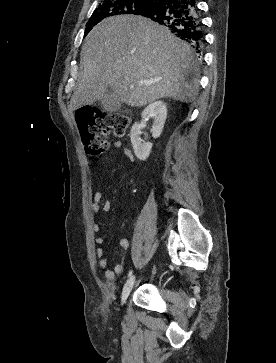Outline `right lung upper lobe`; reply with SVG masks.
<instances>
[{
    "label": "right lung upper lobe",
    "instance_id": "obj_1",
    "mask_svg": "<svg viewBox=\"0 0 276 363\" xmlns=\"http://www.w3.org/2000/svg\"><path fill=\"white\" fill-rule=\"evenodd\" d=\"M155 3L158 1V0H153Z\"/></svg>",
    "mask_w": 276,
    "mask_h": 363
}]
</instances>
